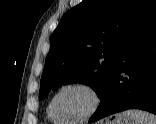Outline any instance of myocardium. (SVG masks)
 Masks as SVG:
<instances>
[{
	"label": "myocardium",
	"instance_id": "f54148a6",
	"mask_svg": "<svg viewBox=\"0 0 156 124\" xmlns=\"http://www.w3.org/2000/svg\"><path fill=\"white\" fill-rule=\"evenodd\" d=\"M71 88H80V89L86 90L92 96L93 103H92L90 110L84 116H82L78 119H74V120H63V122L70 123V124H77V123H82V122L88 121L100 109L102 101H103V95L97 86H95L92 83L84 82V81L67 83V84L61 86L57 90V92L53 95V97L51 98L50 103H49V109H50L52 115L55 118H58L54 111L55 101L63 91H65L67 89H71Z\"/></svg>",
	"mask_w": 156,
	"mask_h": 124
}]
</instances>
